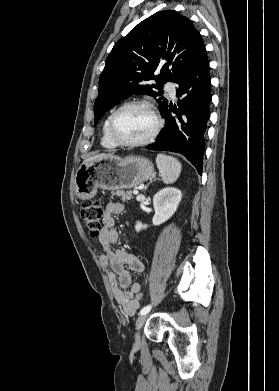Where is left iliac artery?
Masks as SVG:
<instances>
[{
	"instance_id": "44dca946",
	"label": "left iliac artery",
	"mask_w": 279,
	"mask_h": 391,
	"mask_svg": "<svg viewBox=\"0 0 279 391\" xmlns=\"http://www.w3.org/2000/svg\"><path fill=\"white\" fill-rule=\"evenodd\" d=\"M150 310H151V305H147V306H145L144 308L141 309L140 314H141V315L146 314V313H148Z\"/></svg>"
}]
</instances>
